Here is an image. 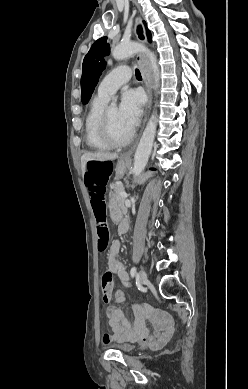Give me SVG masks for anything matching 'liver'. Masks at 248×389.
I'll return each mask as SVG.
<instances>
[{"label":"liver","mask_w":248,"mask_h":389,"mask_svg":"<svg viewBox=\"0 0 248 389\" xmlns=\"http://www.w3.org/2000/svg\"><path fill=\"white\" fill-rule=\"evenodd\" d=\"M118 157L117 153H108V152H88L82 155L81 164L83 173L86 172V163L88 161H108L115 160Z\"/></svg>","instance_id":"1"}]
</instances>
